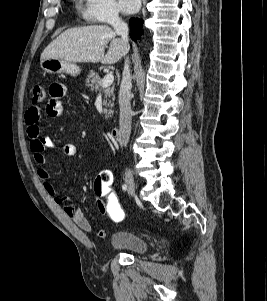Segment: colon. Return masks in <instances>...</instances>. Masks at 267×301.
Instances as JSON below:
<instances>
[{
  "mask_svg": "<svg viewBox=\"0 0 267 301\" xmlns=\"http://www.w3.org/2000/svg\"><path fill=\"white\" fill-rule=\"evenodd\" d=\"M44 97L43 87L35 85L32 88L33 104L41 103ZM93 196L100 202L105 215L111 221L119 223L124 220L126 213L113 186V176L109 170H102L96 176L93 183Z\"/></svg>",
  "mask_w": 267,
  "mask_h": 301,
  "instance_id": "obj_1",
  "label": "colon"
}]
</instances>
